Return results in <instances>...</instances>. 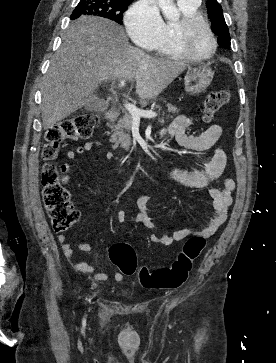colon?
<instances>
[{"label": "colon", "instance_id": "obj_1", "mask_svg": "<svg viewBox=\"0 0 276 363\" xmlns=\"http://www.w3.org/2000/svg\"><path fill=\"white\" fill-rule=\"evenodd\" d=\"M229 92L226 89L212 91L204 101V115L210 120L227 104ZM99 118L94 113H83L60 121L45 132L46 145L43 158L41 184L43 201L51 221L53 231L62 233L68 230L80 216L70 202L68 190L60 182V170L54 163L59 146L67 140L86 139L92 136ZM205 246L202 236H193L183 245L182 251L169 267L150 270L137 267L135 250L127 243H116L109 248V258L122 274L136 273L139 285L145 289H172L182 285L189 276L192 262Z\"/></svg>", "mask_w": 276, "mask_h": 363}]
</instances>
